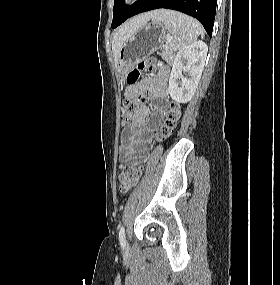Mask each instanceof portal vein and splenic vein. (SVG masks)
I'll use <instances>...</instances> for the list:
<instances>
[{
    "label": "portal vein and splenic vein",
    "instance_id": "1",
    "mask_svg": "<svg viewBox=\"0 0 280 285\" xmlns=\"http://www.w3.org/2000/svg\"><path fill=\"white\" fill-rule=\"evenodd\" d=\"M171 39H172L171 37H167L166 38V43H169L171 41Z\"/></svg>",
    "mask_w": 280,
    "mask_h": 285
}]
</instances>
